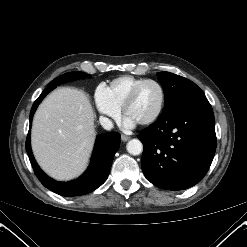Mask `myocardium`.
<instances>
[{"mask_svg":"<svg viewBox=\"0 0 247 247\" xmlns=\"http://www.w3.org/2000/svg\"><path fill=\"white\" fill-rule=\"evenodd\" d=\"M155 84L159 90H160V94H161V98H160V104L159 107L157 109V111L154 113L153 116H151L150 118L140 122L141 125H150L153 124L154 122H156L160 116L163 113V110L165 108V103H166V91L164 86L157 80L154 79H145L142 82H140L139 84H137L132 91L129 93V95L127 96L126 100L123 103L122 106V111L124 113V115H127V110L128 108L131 106V104L136 100L140 90L147 84Z\"/></svg>","mask_w":247,"mask_h":247,"instance_id":"myocardium-1","label":"myocardium"}]
</instances>
